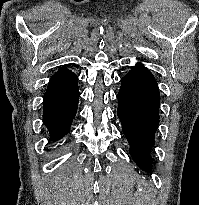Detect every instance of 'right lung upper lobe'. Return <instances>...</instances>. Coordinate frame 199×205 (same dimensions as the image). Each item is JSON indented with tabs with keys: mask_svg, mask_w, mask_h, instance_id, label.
<instances>
[{
	"mask_svg": "<svg viewBox=\"0 0 199 205\" xmlns=\"http://www.w3.org/2000/svg\"><path fill=\"white\" fill-rule=\"evenodd\" d=\"M71 71L66 68H61L57 73H70Z\"/></svg>",
	"mask_w": 199,
	"mask_h": 205,
	"instance_id": "cb5924a9",
	"label": "right lung upper lobe"
}]
</instances>
